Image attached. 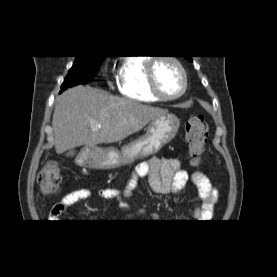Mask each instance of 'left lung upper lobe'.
<instances>
[{
  "mask_svg": "<svg viewBox=\"0 0 277 277\" xmlns=\"http://www.w3.org/2000/svg\"><path fill=\"white\" fill-rule=\"evenodd\" d=\"M186 59H188L189 61H192V58H191V56H189V57H185Z\"/></svg>",
  "mask_w": 277,
  "mask_h": 277,
  "instance_id": "5c2ea615",
  "label": "left lung upper lobe"
}]
</instances>
